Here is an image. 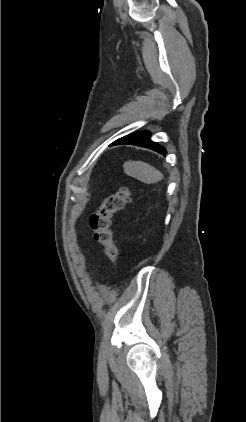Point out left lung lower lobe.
Returning <instances> with one entry per match:
<instances>
[{"label":"left lung lower lobe","mask_w":246,"mask_h":422,"mask_svg":"<svg viewBox=\"0 0 246 422\" xmlns=\"http://www.w3.org/2000/svg\"><path fill=\"white\" fill-rule=\"evenodd\" d=\"M121 144H131V145H136L139 147L149 148L160 154L166 153V150L164 147L150 140V133L148 131H141V132L129 134L127 136H124L114 141L110 146L121 145Z\"/></svg>","instance_id":"0a47b994"}]
</instances>
